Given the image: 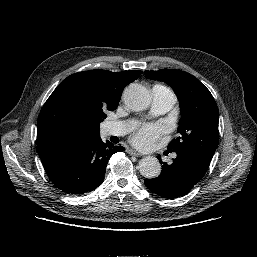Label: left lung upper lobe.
<instances>
[{
    "label": "left lung upper lobe",
    "mask_w": 257,
    "mask_h": 257,
    "mask_svg": "<svg viewBox=\"0 0 257 257\" xmlns=\"http://www.w3.org/2000/svg\"><path fill=\"white\" fill-rule=\"evenodd\" d=\"M145 75L164 81L179 96V137L169 143L168 150H196L212 157L218 146L219 111L210 91L196 77L181 70L145 71Z\"/></svg>",
    "instance_id": "obj_1"
}]
</instances>
